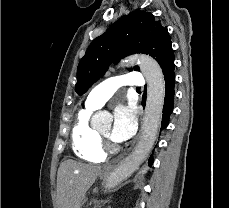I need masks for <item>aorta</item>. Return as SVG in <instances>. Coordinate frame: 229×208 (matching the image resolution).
<instances>
[{"mask_svg": "<svg viewBox=\"0 0 229 208\" xmlns=\"http://www.w3.org/2000/svg\"><path fill=\"white\" fill-rule=\"evenodd\" d=\"M138 64L147 83V99L142 133L133 152L109 175L105 191L127 179L145 160L156 140L165 98V80L159 64L146 55H134L125 60L126 66ZM111 115L106 111L97 112L92 117L94 125L110 122Z\"/></svg>", "mask_w": 229, "mask_h": 208, "instance_id": "762f6f07", "label": "aorta"}]
</instances>
